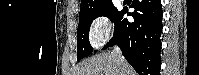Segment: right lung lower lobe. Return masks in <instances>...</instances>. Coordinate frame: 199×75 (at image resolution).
<instances>
[{
  "label": "right lung lower lobe",
  "instance_id": "right-lung-lower-lobe-1",
  "mask_svg": "<svg viewBox=\"0 0 199 75\" xmlns=\"http://www.w3.org/2000/svg\"><path fill=\"white\" fill-rule=\"evenodd\" d=\"M130 23L122 10L114 26L112 40L102 49L118 45L123 56L139 75H160L162 7L160 0H133ZM129 14V13H127Z\"/></svg>",
  "mask_w": 199,
  "mask_h": 75
}]
</instances>
